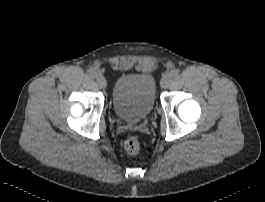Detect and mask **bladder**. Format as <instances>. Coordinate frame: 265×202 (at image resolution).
<instances>
[{
	"label": "bladder",
	"instance_id": "1",
	"mask_svg": "<svg viewBox=\"0 0 265 202\" xmlns=\"http://www.w3.org/2000/svg\"><path fill=\"white\" fill-rule=\"evenodd\" d=\"M156 102V81L148 74H124L117 78L112 105L118 118L139 122L146 118Z\"/></svg>",
	"mask_w": 265,
	"mask_h": 202
}]
</instances>
